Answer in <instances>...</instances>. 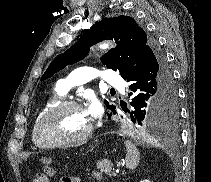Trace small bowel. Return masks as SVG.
Listing matches in <instances>:
<instances>
[{
    "mask_svg": "<svg viewBox=\"0 0 211 182\" xmlns=\"http://www.w3.org/2000/svg\"><path fill=\"white\" fill-rule=\"evenodd\" d=\"M61 182H80V179L77 177H67V178H63Z\"/></svg>",
    "mask_w": 211,
    "mask_h": 182,
    "instance_id": "c3829d8e",
    "label": "small bowel"
}]
</instances>
